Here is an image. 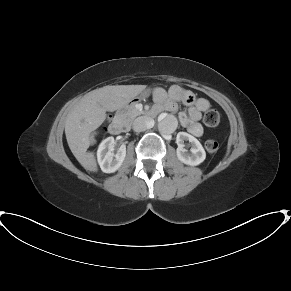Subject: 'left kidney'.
<instances>
[{"label":"left kidney","instance_id":"obj_1","mask_svg":"<svg viewBox=\"0 0 291 291\" xmlns=\"http://www.w3.org/2000/svg\"><path fill=\"white\" fill-rule=\"evenodd\" d=\"M188 141L191 146L190 151L185 148L184 142ZM178 148L176 154L178 159L190 166L201 164L206 158V152L201 143L192 135L186 132H179L176 137Z\"/></svg>","mask_w":291,"mask_h":291}]
</instances>
